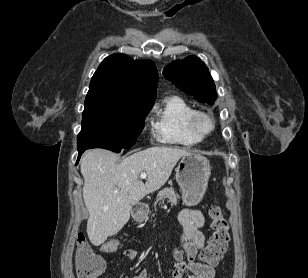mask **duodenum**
<instances>
[{"instance_id": "410a0bca", "label": "duodenum", "mask_w": 308, "mask_h": 278, "mask_svg": "<svg viewBox=\"0 0 308 278\" xmlns=\"http://www.w3.org/2000/svg\"><path fill=\"white\" fill-rule=\"evenodd\" d=\"M148 210V205L144 202L138 203L133 211V217L136 221H140L144 218Z\"/></svg>"}]
</instances>
